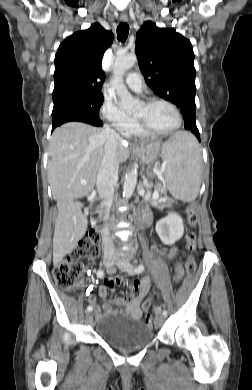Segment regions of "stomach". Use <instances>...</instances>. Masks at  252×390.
Returning a JSON list of instances; mask_svg holds the SVG:
<instances>
[{
	"label": "stomach",
	"instance_id": "1",
	"mask_svg": "<svg viewBox=\"0 0 252 390\" xmlns=\"http://www.w3.org/2000/svg\"><path fill=\"white\" fill-rule=\"evenodd\" d=\"M160 151V145L158 143L141 145L134 149L135 154L144 164H149L154 162Z\"/></svg>",
	"mask_w": 252,
	"mask_h": 390
}]
</instances>
